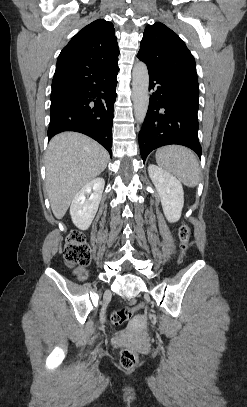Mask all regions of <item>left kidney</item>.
<instances>
[{
    "instance_id": "1",
    "label": "left kidney",
    "mask_w": 247,
    "mask_h": 407,
    "mask_svg": "<svg viewBox=\"0 0 247 407\" xmlns=\"http://www.w3.org/2000/svg\"><path fill=\"white\" fill-rule=\"evenodd\" d=\"M149 176L158 192L166 219L177 222L184 205V191L180 181L162 168L150 164Z\"/></svg>"
}]
</instances>
